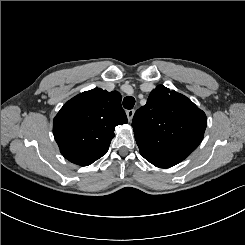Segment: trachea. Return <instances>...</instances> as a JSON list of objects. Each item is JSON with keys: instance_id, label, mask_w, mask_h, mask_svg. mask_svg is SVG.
Returning a JSON list of instances; mask_svg holds the SVG:
<instances>
[{"instance_id": "1", "label": "trachea", "mask_w": 245, "mask_h": 245, "mask_svg": "<svg viewBox=\"0 0 245 245\" xmlns=\"http://www.w3.org/2000/svg\"><path fill=\"white\" fill-rule=\"evenodd\" d=\"M135 103V99L133 96H127L123 100V106L126 109H132Z\"/></svg>"}]
</instances>
